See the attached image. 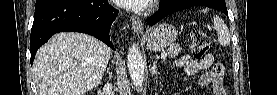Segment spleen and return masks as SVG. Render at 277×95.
<instances>
[{
	"instance_id": "spleen-1",
	"label": "spleen",
	"mask_w": 277,
	"mask_h": 95,
	"mask_svg": "<svg viewBox=\"0 0 277 95\" xmlns=\"http://www.w3.org/2000/svg\"><path fill=\"white\" fill-rule=\"evenodd\" d=\"M213 23L217 30L219 44L224 47L228 46L230 44V33L228 27L218 16L214 17Z\"/></svg>"
}]
</instances>
